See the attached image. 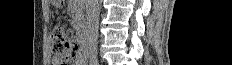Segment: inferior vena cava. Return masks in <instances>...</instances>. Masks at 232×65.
<instances>
[{
	"mask_svg": "<svg viewBox=\"0 0 232 65\" xmlns=\"http://www.w3.org/2000/svg\"><path fill=\"white\" fill-rule=\"evenodd\" d=\"M100 5L99 0H86V35L90 57L96 58Z\"/></svg>",
	"mask_w": 232,
	"mask_h": 65,
	"instance_id": "inferior-vena-cava-1",
	"label": "inferior vena cava"
}]
</instances>
